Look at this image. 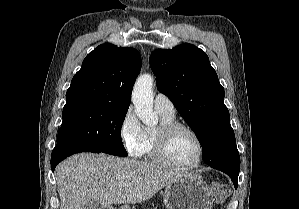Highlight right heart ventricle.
<instances>
[{
  "instance_id": "e07e8e85",
  "label": "right heart ventricle",
  "mask_w": 299,
  "mask_h": 209,
  "mask_svg": "<svg viewBox=\"0 0 299 209\" xmlns=\"http://www.w3.org/2000/svg\"><path fill=\"white\" fill-rule=\"evenodd\" d=\"M162 119V123L174 122V116H166L159 113ZM153 131L145 129V143L142 149L141 155L146 156L149 159L156 160L153 155Z\"/></svg>"
}]
</instances>
